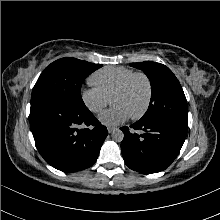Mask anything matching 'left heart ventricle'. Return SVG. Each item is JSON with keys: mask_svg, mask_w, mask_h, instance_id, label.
I'll return each instance as SVG.
<instances>
[{"mask_svg": "<svg viewBox=\"0 0 220 220\" xmlns=\"http://www.w3.org/2000/svg\"><path fill=\"white\" fill-rule=\"evenodd\" d=\"M147 97L145 81L138 77L134 79L126 91L111 98L113 105L123 106L130 115L138 113L144 106Z\"/></svg>", "mask_w": 220, "mask_h": 220, "instance_id": "1", "label": "left heart ventricle"}]
</instances>
